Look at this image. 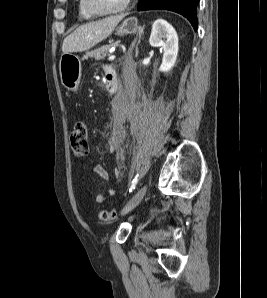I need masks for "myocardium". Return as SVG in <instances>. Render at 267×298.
I'll return each mask as SVG.
<instances>
[{"label": "myocardium", "instance_id": "1", "mask_svg": "<svg viewBox=\"0 0 267 298\" xmlns=\"http://www.w3.org/2000/svg\"><path fill=\"white\" fill-rule=\"evenodd\" d=\"M132 0H125L124 3L119 7L118 9L114 11H100L93 7L92 3L90 0H83V6L85 10L90 13L93 16L96 17H106V16H113V15H119L124 13L128 7L130 6Z\"/></svg>", "mask_w": 267, "mask_h": 298}]
</instances>
